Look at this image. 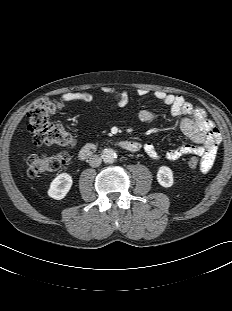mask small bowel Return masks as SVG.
I'll return each instance as SVG.
<instances>
[{"label":"small bowel","mask_w":232,"mask_h":311,"mask_svg":"<svg viewBox=\"0 0 232 311\" xmlns=\"http://www.w3.org/2000/svg\"><path fill=\"white\" fill-rule=\"evenodd\" d=\"M103 92L113 95L119 106H125L128 103L129 96L126 91H116L113 88L105 87ZM136 92L140 97L152 94L156 100L168 105L172 115L179 118L180 129L192 142L168 149L164 154L165 158L174 161L187 155L197 156L201 158V170L208 172L213 166L221 134L206 117L204 111L186 101L184 97L163 90L151 91L147 88H138ZM62 99L64 101L90 102L92 95L86 91L67 92L62 95ZM138 119L142 123H150L155 119V114L149 109H142L138 112ZM144 151L152 159L159 157L155 147L150 143L144 145Z\"/></svg>","instance_id":"1"}]
</instances>
